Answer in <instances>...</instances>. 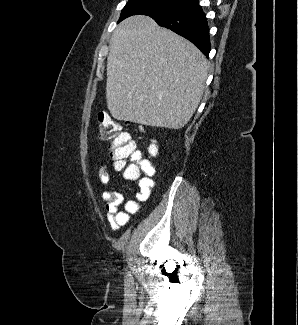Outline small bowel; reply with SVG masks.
<instances>
[{"instance_id":"1","label":"small bowel","mask_w":298,"mask_h":325,"mask_svg":"<svg viewBox=\"0 0 298 325\" xmlns=\"http://www.w3.org/2000/svg\"><path fill=\"white\" fill-rule=\"evenodd\" d=\"M153 176L154 170H150L139 178L135 200L124 201L123 196L114 191H105L102 194L107 220L113 231H118L121 227L126 226L130 221V216L140 211V203L149 199L155 186ZM99 180L103 185L109 183L110 175L107 166H102L99 169ZM121 205H123V209H120Z\"/></svg>"}]
</instances>
